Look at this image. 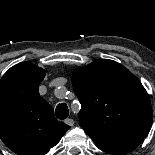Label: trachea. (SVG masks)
Here are the masks:
<instances>
[{"label":"trachea","instance_id":"obj_1","mask_svg":"<svg viewBox=\"0 0 155 155\" xmlns=\"http://www.w3.org/2000/svg\"><path fill=\"white\" fill-rule=\"evenodd\" d=\"M56 117L60 120H64L69 115L68 107L65 103L58 104L55 111Z\"/></svg>","mask_w":155,"mask_h":155}]
</instances>
